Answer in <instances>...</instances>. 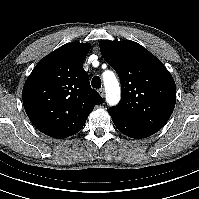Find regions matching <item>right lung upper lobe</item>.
Instances as JSON below:
<instances>
[{"instance_id":"obj_1","label":"right lung upper lobe","mask_w":199,"mask_h":199,"mask_svg":"<svg viewBox=\"0 0 199 199\" xmlns=\"http://www.w3.org/2000/svg\"><path fill=\"white\" fill-rule=\"evenodd\" d=\"M89 44L69 43L44 57L23 87V105L33 125L54 138L79 132L102 97L91 88L83 62Z\"/></svg>"}]
</instances>
